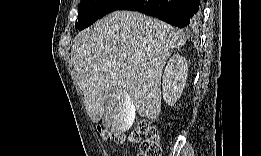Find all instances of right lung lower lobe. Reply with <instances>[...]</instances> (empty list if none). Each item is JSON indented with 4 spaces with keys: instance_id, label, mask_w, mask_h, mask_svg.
Returning <instances> with one entry per match:
<instances>
[{
    "instance_id": "98d812e1",
    "label": "right lung lower lobe",
    "mask_w": 261,
    "mask_h": 156,
    "mask_svg": "<svg viewBox=\"0 0 261 156\" xmlns=\"http://www.w3.org/2000/svg\"><path fill=\"white\" fill-rule=\"evenodd\" d=\"M200 0H126L117 10H132L154 16L177 27H195Z\"/></svg>"
}]
</instances>
